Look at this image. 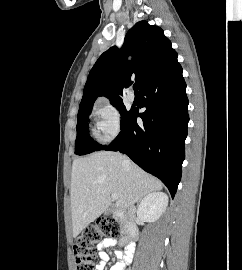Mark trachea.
<instances>
[{
	"label": "trachea",
	"instance_id": "1",
	"mask_svg": "<svg viewBox=\"0 0 242 270\" xmlns=\"http://www.w3.org/2000/svg\"><path fill=\"white\" fill-rule=\"evenodd\" d=\"M133 89H134L135 92H138L139 85H138L137 83H135V84L133 85Z\"/></svg>",
	"mask_w": 242,
	"mask_h": 270
}]
</instances>
